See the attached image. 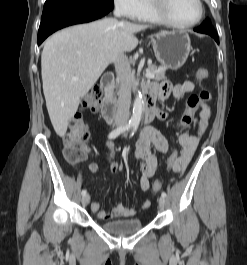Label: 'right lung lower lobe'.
I'll return each instance as SVG.
<instances>
[{"instance_id":"98d812e1","label":"right lung lower lobe","mask_w":247,"mask_h":265,"mask_svg":"<svg viewBox=\"0 0 247 265\" xmlns=\"http://www.w3.org/2000/svg\"><path fill=\"white\" fill-rule=\"evenodd\" d=\"M113 9L108 0H46L38 31V45L53 32L101 18Z\"/></svg>"}]
</instances>
